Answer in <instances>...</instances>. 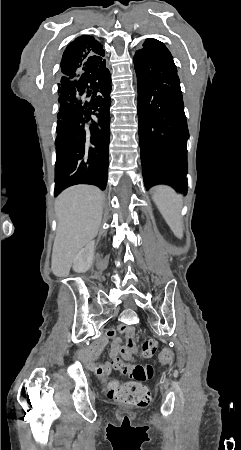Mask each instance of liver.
<instances>
[{"mask_svg":"<svg viewBox=\"0 0 241 450\" xmlns=\"http://www.w3.org/2000/svg\"><path fill=\"white\" fill-rule=\"evenodd\" d=\"M58 220L52 252V272L68 276L79 250L96 238L103 216V194L95 186H72L54 204Z\"/></svg>","mask_w":241,"mask_h":450,"instance_id":"liver-1","label":"liver"}]
</instances>
